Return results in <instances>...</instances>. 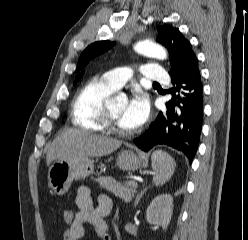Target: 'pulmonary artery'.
Here are the masks:
<instances>
[{"label":"pulmonary artery","mask_w":248,"mask_h":240,"mask_svg":"<svg viewBox=\"0 0 248 240\" xmlns=\"http://www.w3.org/2000/svg\"><path fill=\"white\" fill-rule=\"evenodd\" d=\"M143 78L147 81L167 83L169 77L157 64H147L142 68ZM131 77L127 68H117L105 72L102 78L111 86L118 89L122 87Z\"/></svg>","instance_id":"obj_1"}]
</instances>
